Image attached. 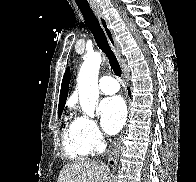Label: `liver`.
Wrapping results in <instances>:
<instances>
[{
  "label": "liver",
  "mask_w": 196,
  "mask_h": 182,
  "mask_svg": "<svg viewBox=\"0 0 196 182\" xmlns=\"http://www.w3.org/2000/svg\"><path fill=\"white\" fill-rule=\"evenodd\" d=\"M110 169L104 163L81 161L65 165L57 182H107Z\"/></svg>",
  "instance_id": "obj_1"
}]
</instances>
